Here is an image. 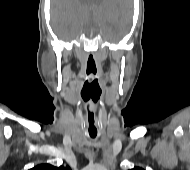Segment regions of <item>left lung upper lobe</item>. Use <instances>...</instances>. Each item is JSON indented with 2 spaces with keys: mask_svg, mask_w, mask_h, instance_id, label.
I'll return each mask as SVG.
<instances>
[{
  "mask_svg": "<svg viewBox=\"0 0 190 170\" xmlns=\"http://www.w3.org/2000/svg\"><path fill=\"white\" fill-rule=\"evenodd\" d=\"M131 170H144V169H142V168H140V167H134V168L131 169Z\"/></svg>",
  "mask_w": 190,
  "mask_h": 170,
  "instance_id": "left-lung-upper-lobe-1",
  "label": "left lung upper lobe"
}]
</instances>
